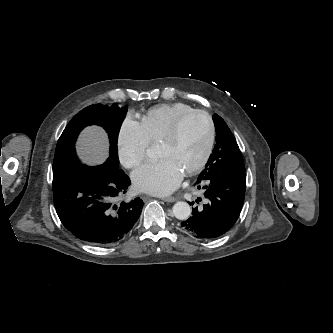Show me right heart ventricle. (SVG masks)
<instances>
[{"label": "right heart ventricle", "mask_w": 333, "mask_h": 333, "mask_svg": "<svg viewBox=\"0 0 333 333\" xmlns=\"http://www.w3.org/2000/svg\"><path fill=\"white\" fill-rule=\"evenodd\" d=\"M190 110L193 108L184 103L164 104L149 109L141 116V124L150 142H159L172 123Z\"/></svg>", "instance_id": "right-heart-ventricle-1"}]
</instances>
